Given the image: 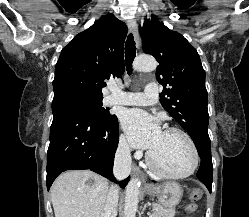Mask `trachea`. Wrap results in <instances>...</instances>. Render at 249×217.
Instances as JSON below:
<instances>
[{
  "label": "trachea",
  "mask_w": 249,
  "mask_h": 217,
  "mask_svg": "<svg viewBox=\"0 0 249 217\" xmlns=\"http://www.w3.org/2000/svg\"><path fill=\"white\" fill-rule=\"evenodd\" d=\"M136 55V47L134 42V37L129 34L125 44V61L126 69L129 75L132 73V63Z\"/></svg>",
  "instance_id": "1"
}]
</instances>
